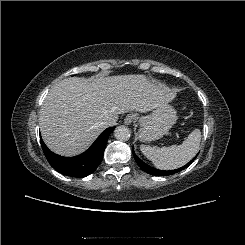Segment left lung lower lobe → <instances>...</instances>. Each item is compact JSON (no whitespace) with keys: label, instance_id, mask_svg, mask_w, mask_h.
<instances>
[{"label":"left lung lower lobe","instance_id":"0a47b994","mask_svg":"<svg viewBox=\"0 0 245 245\" xmlns=\"http://www.w3.org/2000/svg\"><path fill=\"white\" fill-rule=\"evenodd\" d=\"M132 152H133V155H134V158L137 162V164L139 165V167L146 173L148 174H151V175H156V176H167V175H171V174H174V173H177L183 169H185L186 167H188L192 162L193 160L196 158V156L193 158V160H191L190 162H188L185 166L179 168V169H175V170H169V171H163V170H157V169H154L150 166H148L147 164H145L144 162H142L134 153V150L132 149Z\"/></svg>","mask_w":245,"mask_h":245}]
</instances>
